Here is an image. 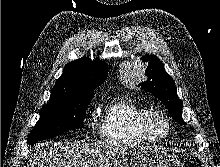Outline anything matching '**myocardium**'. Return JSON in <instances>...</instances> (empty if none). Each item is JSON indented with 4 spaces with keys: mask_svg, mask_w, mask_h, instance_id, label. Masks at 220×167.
Here are the masks:
<instances>
[{
    "mask_svg": "<svg viewBox=\"0 0 220 167\" xmlns=\"http://www.w3.org/2000/svg\"><path fill=\"white\" fill-rule=\"evenodd\" d=\"M160 121L165 125V132L162 135L156 134L154 122ZM141 130L150 142H162L171 133L172 125L169 118L159 111L149 110L142 118Z\"/></svg>",
    "mask_w": 220,
    "mask_h": 167,
    "instance_id": "obj_1",
    "label": "myocardium"
}]
</instances>
